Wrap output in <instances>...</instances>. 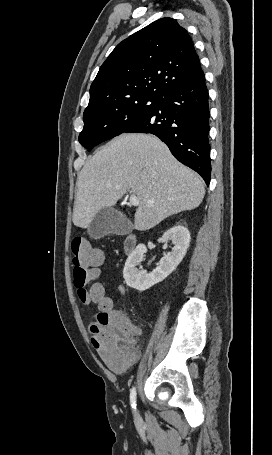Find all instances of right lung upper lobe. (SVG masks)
<instances>
[{
	"label": "right lung upper lobe",
	"instance_id": "1",
	"mask_svg": "<svg viewBox=\"0 0 272 455\" xmlns=\"http://www.w3.org/2000/svg\"><path fill=\"white\" fill-rule=\"evenodd\" d=\"M202 74L188 32L162 18L115 47L91 84L85 111L136 95L162 97Z\"/></svg>",
	"mask_w": 272,
	"mask_h": 455
}]
</instances>
